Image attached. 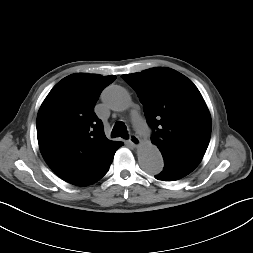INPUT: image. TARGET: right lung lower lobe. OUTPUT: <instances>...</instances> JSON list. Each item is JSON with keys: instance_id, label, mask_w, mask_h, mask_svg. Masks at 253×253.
<instances>
[{"instance_id": "right-lung-lower-lobe-1", "label": "right lung lower lobe", "mask_w": 253, "mask_h": 253, "mask_svg": "<svg viewBox=\"0 0 253 253\" xmlns=\"http://www.w3.org/2000/svg\"><path fill=\"white\" fill-rule=\"evenodd\" d=\"M122 145H123V143L117 142V143L115 144V146L113 147V149H112V151H111V153H110V155H109V157H108V160H107V171H108V169H109L110 164L112 163L113 156H114L115 152H116L117 149H118L119 147H121Z\"/></svg>"}]
</instances>
